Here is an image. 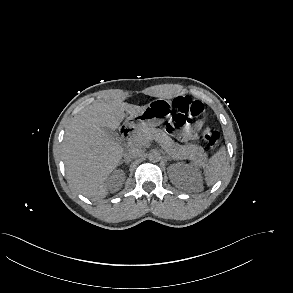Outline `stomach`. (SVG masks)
<instances>
[{
    "instance_id": "0dacf381",
    "label": "stomach",
    "mask_w": 293,
    "mask_h": 293,
    "mask_svg": "<svg viewBox=\"0 0 293 293\" xmlns=\"http://www.w3.org/2000/svg\"><path fill=\"white\" fill-rule=\"evenodd\" d=\"M172 110L171 101L159 98L151 101L138 115L130 117V124L139 127H156L162 124Z\"/></svg>"
}]
</instances>
